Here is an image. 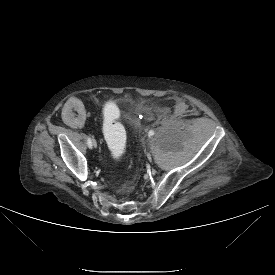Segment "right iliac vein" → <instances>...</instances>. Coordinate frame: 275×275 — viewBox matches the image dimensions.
<instances>
[{
    "mask_svg": "<svg viewBox=\"0 0 275 275\" xmlns=\"http://www.w3.org/2000/svg\"><path fill=\"white\" fill-rule=\"evenodd\" d=\"M92 145H93L94 147H96V146H97V142H96V140H95V139H92Z\"/></svg>",
    "mask_w": 275,
    "mask_h": 275,
    "instance_id": "1",
    "label": "right iliac vein"
}]
</instances>
